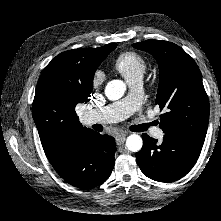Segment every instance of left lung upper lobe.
Segmentation results:
<instances>
[{
  "label": "left lung upper lobe",
  "mask_w": 221,
  "mask_h": 221,
  "mask_svg": "<svg viewBox=\"0 0 221 221\" xmlns=\"http://www.w3.org/2000/svg\"><path fill=\"white\" fill-rule=\"evenodd\" d=\"M133 46L151 53L159 66L155 104L166 112L160 116V128L164 133L203 145L209 120V101L201 72L193 58L168 41L150 39Z\"/></svg>",
  "instance_id": "1"
}]
</instances>
